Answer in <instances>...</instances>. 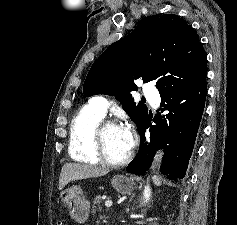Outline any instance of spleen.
Listing matches in <instances>:
<instances>
[{
  "label": "spleen",
  "instance_id": "obj_1",
  "mask_svg": "<svg viewBox=\"0 0 237 225\" xmlns=\"http://www.w3.org/2000/svg\"><path fill=\"white\" fill-rule=\"evenodd\" d=\"M155 182H156L157 184H160V182H159V180H158L157 178H155Z\"/></svg>",
  "mask_w": 237,
  "mask_h": 225
}]
</instances>
